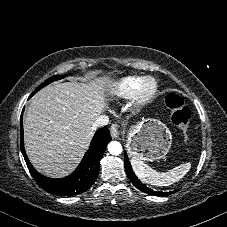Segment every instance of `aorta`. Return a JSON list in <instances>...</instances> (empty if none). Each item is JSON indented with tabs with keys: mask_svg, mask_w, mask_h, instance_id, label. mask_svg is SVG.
Here are the masks:
<instances>
[{
	"mask_svg": "<svg viewBox=\"0 0 227 227\" xmlns=\"http://www.w3.org/2000/svg\"><path fill=\"white\" fill-rule=\"evenodd\" d=\"M108 151L112 155H119L122 153V145L117 141H112L108 144Z\"/></svg>",
	"mask_w": 227,
	"mask_h": 227,
	"instance_id": "762f6f07",
	"label": "aorta"
}]
</instances>
